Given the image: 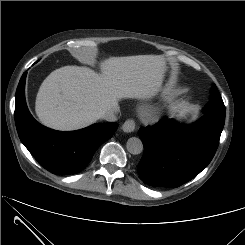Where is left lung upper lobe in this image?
<instances>
[{"label":"left lung upper lobe","mask_w":245,"mask_h":245,"mask_svg":"<svg viewBox=\"0 0 245 245\" xmlns=\"http://www.w3.org/2000/svg\"><path fill=\"white\" fill-rule=\"evenodd\" d=\"M203 112L225 119V106L215 85L211 88L210 100L205 105Z\"/></svg>","instance_id":"5c2ea615"}]
</instances>
